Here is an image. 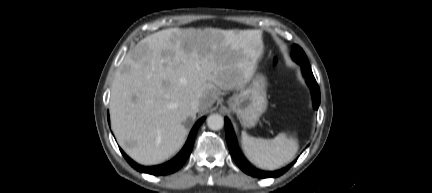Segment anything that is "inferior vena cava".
<instances>
[{
    "label": "inferior vena cava",
    "mask_w": 432,
    "mask_h": 193,
    "mask_svg": "<svg viewBox=\"0 0 432 193\" xmlns=\"http://www.w3.org/2000/svg\"><path fill=\"white\" fill-rule=\"evenodd\" d=\"M191 109L194 112H198L200 108V100L199 99H193L190 103Z\"/></svg>",
    "instance_id": "602c4592"
}]
</instances>
